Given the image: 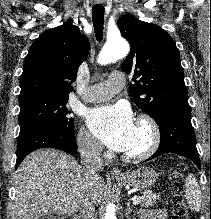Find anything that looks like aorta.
<instances>
[{"mask_svg": "<svg viewBox=\"0 0 211 219\" xmlns=\"http://www.w3.org/2000/svg\"><path fill=\"white\" fill-rule=\"evenodd\" d=\"M129 44L123 39L108 41L99 54V63L108 64L116 61L119 58L126 56L129 53ZM103 219H117L113 204L107 207Z\"/></svg>", "mask_w": 211, "mask_h": 219, "instance_id": "1", "label": "aorta"}]
</instances>
